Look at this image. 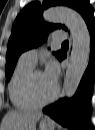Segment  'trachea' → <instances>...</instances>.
Listing matches in <instances>:
<instances>
[{
	"label": "trachea",
	"mask_w": 95,
	"mask_h": 130,
	"mask_svg": "<svg viewBox=\"0 0 95 130\" xmlns=\"http://www.w3.org/2000/svg\"><path fill=\"white\" fill-rule=\"evenodd\" d=\"M68 46H69L68 41H64V42L62 43V47H68Z\"/></svg>",
	"instance_id": "trachea-1"
}]
</instances>
